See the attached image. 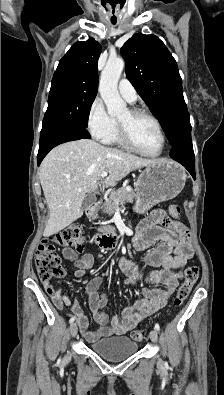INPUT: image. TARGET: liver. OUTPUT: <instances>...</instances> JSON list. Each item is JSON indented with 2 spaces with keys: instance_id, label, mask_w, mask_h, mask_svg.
Returning <instances> with one entry per match:
<instances>
[{
  "instance_id": "1",
  "label": "liver",
  "mask_w": 224,
  "mask_h": 395,
  "mask_svg": "<svg viewBox=\"0 0 224 395\" xmlns=\"http://www.w3.org/2000/svg\"><path fill=\"white\" fill-rule=\"evenodd\" d=\"M144 159L100 143L82 139L55 147L44 158L39 178L49 209L43 235L51 236L81 217L82 202L88 192H96L103 183L115 186L131 171L153 164ZM109 175L101 180V174Z\"/></svg>"
}]
</instances>
